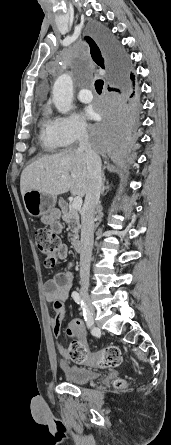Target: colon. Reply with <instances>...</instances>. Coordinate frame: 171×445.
Here are the masks:
<instances>
[{
	"label": "colon",
	"mask_w": 171,
	"mask_h": 445,
	"mask_svg": "<svg viewBox=\"0 0 171 445\" xmlns=\"http://www.w3.org/2000/svg\"><path fill=\"white\" fill-rule=\"evenodd\" d=\"M35 241L43 255L45 266L52 267L56 265L61 246L59 236L49 229L37 228L35 230ZM69 358L75 363H88L99 368L117 367L122 362V354L117 346L110 345L95 353H90L86 344L76 340L70 344ZM123 384L122 380L115 382L117 388H121Z\"/></svg>",
	"instance_id": "obj_1"
}]
</instances>
